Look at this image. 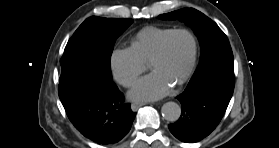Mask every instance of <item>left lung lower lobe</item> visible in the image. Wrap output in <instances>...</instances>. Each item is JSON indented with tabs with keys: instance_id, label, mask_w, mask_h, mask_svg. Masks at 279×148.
<instances>
[{
	"instance_id": "obj_1",
	"label": "left lung lower lobe",
	"mask_w": 279,
	"mask_h": 148,
	"mask_svg": "<svg viewBox=\"0 0 279 148\" xmlns=\"http://www.w3.org/2000/svg\"><path fill=\"white\" fill-rule=\"evenodd\" d=\"M235 85L234 64L214 65L192 77L187 88L177 96L181 117L169 125L170 132L187 143L208 136L220 123Z\"/></svg>"
}]
</instances>
